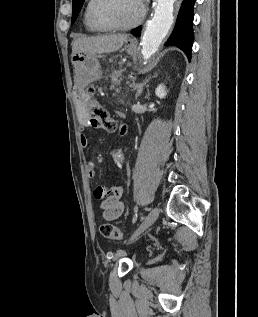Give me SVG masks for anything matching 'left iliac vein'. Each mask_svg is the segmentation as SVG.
I'll use <instances>...</instances> for the list:
<instances>
[{"label": "left iliac vein", "mask_w": 258, "mask_h": 317, "mask_svg": "<svg viewBox=\"0 0 258 317\" xmlns=\"http://www.w3.org/2000/svg\"><path fill=\"white\" fill-rule=\"evenodd\" d=\"M158 212H159V207H154L151 209L150 213L147 215V217L141 222L140 226L134 230V235H142V231H146L147 227H150V224H154L156 222V219L158 218ZM131 239L133 238L132 236L130 237ZM135 239L137 238L136 236L134 237Z\"/></svg>", "instance_id": "left-iliac-vein-1"}]
</instances>
